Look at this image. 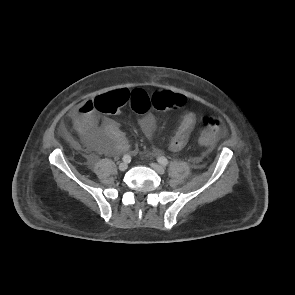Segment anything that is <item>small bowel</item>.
Wrapping results in <instances>:
<instances>
[{
    "instance_id": "small-bowel-1",
    "label": "small bowel",
    "mask_w": 295,
    "mask_h": 295,
    "mask_svg": "<svg viewBox=\"0 0 295 295\" xmlns=\"http://www.w3.org/2000/svg\"><path fill=\"white\" fill-rule=\"evenodd\" d=\"M95 110L93 100H86L70 113V117L83 141L92 149L101 153L112 155L130 152L135 154L136 149L131 148L118 126L108 118H101ZM196 120L195 111L190 108L186 109L178 129L169 143L172 152H180L185 148ZM140 124L146 136L152 139L155 132V118L151 114L145 115L141 118ZM158 153H160L159 148L154 147L151 154Z\"/></svg>"
}]
</instances>
